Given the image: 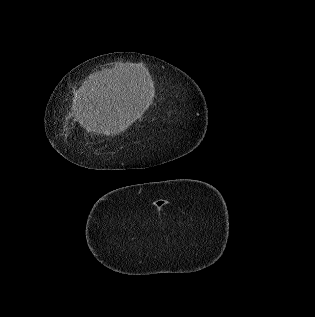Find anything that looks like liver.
Here are the masks:
<instances>
[{"instance_id":"liver-1","label":"liver","mask_w":315,"mask_h":317,"mask_svg":"<svg viewBox=\"0 0 315 317\" xmlns=\"http://www.w3.org/2000/svg\"><path fill=\"white\" fill-rule=\"evenodd\" d=\"M131 67L134 65H125L122 70L127 71ZM115 82L105 86L106 82L103 81L97 86L91 85L82 89L77 120L88 132L119 134L137 118L130 101L124 102L120 98L117 89L120 83Z\"/></svg>"}]
</instances>
